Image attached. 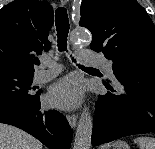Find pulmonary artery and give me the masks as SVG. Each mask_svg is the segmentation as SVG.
Segmentation results:
<instances>
[{
  "label": "pulmonary artery",
  "instance_id": "pulmonary-artery-1",
  "mask_svg": "<svg viewBox=\"0 0 155 149\" xmlns=\"http://www.w3.org/2000/svg\"><path fill=\"white\" fill-rule=\"evenodd\" d=\"M79 59L80 63L84 65L101 66L108 74L114 77L111 62L95 52L90 50H81L79 53ZM41 60L45 68L37 71L34 76L35 81L39 83L51 80L61 71L60 65L53 62L50 58L43 57Z\"/></svg>",
  "mask_w": 155,
  "mask_h": 149
}]
</instances>
